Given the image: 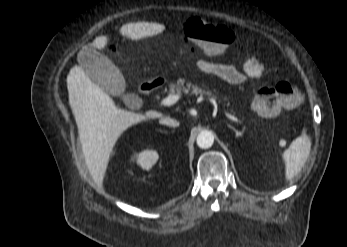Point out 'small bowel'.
<instances>
[{
  "label": "small bowel",
  "mask_w": 347,
  "mask_h": 247,
  "mask_svg": "<svg viewBox=\"0 0 347 247\" xmlns=\"http://www.w3.org/2000/svg\"><path fill=\"white\" fill-rule=\"evenodd\" d=\"M197 67L203 74L219 77L232 85L242 84L249 79H257L263 72L261 62L254 56H249L245 60L242 71L233 65L206 59L199 60Z\"/></svg>",
  "instance_id": "obj_1"
}]
</instances>
